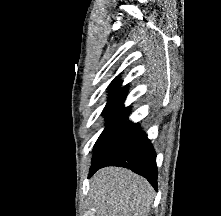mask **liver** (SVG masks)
<instances>
[{"label":"liver","instance_id":"obj_1","mask_svg":"<svg viewBox=\"0 0 221 216\" xmlns=\"http://www.w3.org/2000/svg\"><path fill=\"white\" fill-rule=\"evenodd\" d=\"M97 216H148L154 199L149 182L121 167H106L91 179Z\"/></svg>","mask_w":221,"mask_h":216}]
</instances>
